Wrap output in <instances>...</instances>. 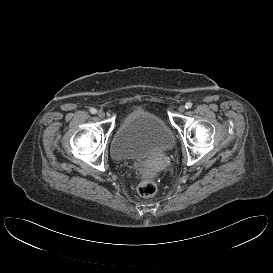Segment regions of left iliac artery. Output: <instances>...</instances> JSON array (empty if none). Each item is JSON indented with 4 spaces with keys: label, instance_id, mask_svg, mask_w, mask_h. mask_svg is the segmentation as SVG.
Returning <instances> with one entry per match:
<instances>
[{
    "label": "left iliac artery",
    "instance_id": "left-iliac-artery-1",
    "mask_svg": "<svg viewBox=\"0 0 273 273\" xmlns=\"http://www.w3.org/2000/svg\"><path fill=\"white\" fill-rule=\"evenodd\" d=\"M192 107V103L191 102H187L186 104H185V108L186 109H190Z\"/></svg>",
    "mask_w": 273,
    "mask_h": 273
}]
</instances>
